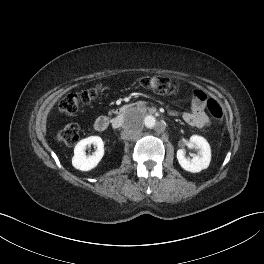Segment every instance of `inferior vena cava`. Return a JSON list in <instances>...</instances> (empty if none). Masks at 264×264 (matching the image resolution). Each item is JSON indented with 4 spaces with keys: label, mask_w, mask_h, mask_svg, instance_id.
<instances>
[{
    "label": "inferior vena cava",
    "mask_w": 264,
    "mask_h": 264,
    "mask_svg": "<svg viewBox=\"0 0 264 264\" xmlns=\"http://www.w3.org/2000/svg\"><path fill=\"white\" fill-rule=\"evenodd\" d=\"M124 123V121L121 118H117L115 120H113V127L117 128V127H121V125Z\"/></svg>",
    "instance_id": "obj_1"
}]
</instances>
